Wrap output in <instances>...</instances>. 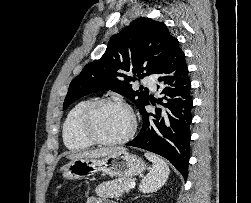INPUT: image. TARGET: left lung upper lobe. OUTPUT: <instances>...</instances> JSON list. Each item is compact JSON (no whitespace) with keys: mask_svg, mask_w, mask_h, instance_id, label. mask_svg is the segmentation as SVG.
<instances>
[{"mask_svg":"<svg viewBox=\"0 0 251 203\" xmlns=\"http://www.w3.org/2000/svg\"><path fill=\"white\" fill-rule=\"evenodd\" d=\"M175 39L162 22L149 18L132 21L113 36L100 59L87 64L72 80L63 109L88 94L112 90L130 99L140 111L149 99L148 89L134 91L131 82L136 78L128 74L141 78L154 74Z\"/></svg>","mask_w":251,"mask_h":203,"instance_id":"5c2ea615","label":"left lung upper lobe"}]
</instances>
